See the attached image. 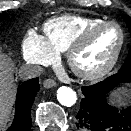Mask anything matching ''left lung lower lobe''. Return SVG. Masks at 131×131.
I'll list each match as a JSON object with an SVG mask.
<instances>
[{
    "label": "left lung lower lobe",
    "mask_w": 131,
    "mask_h": 131,
    "mask_svg": "<svg viewBox=\"0 0 131 131\" xmlns=\"http://www.w3.org/2000/svg\"><path fill=\"white\" fill-rule=\"evenodd\" d=\"M131 83V69L118 71L102 82L82 87L84 98L75 117L78 131H131V106L116 108L107 95L119 84Z\"/></svg>",
    "instance_id": "1"
}]
</instances>
